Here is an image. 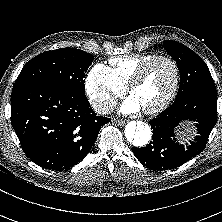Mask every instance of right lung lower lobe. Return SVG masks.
I'll use <instances>...</instances> for the list:
<instances>
[{
	"instance_id": "1",
	"label": "right lung lower lobe",
	"mask_w": 222,
	"mask_h": 222,
	"mask_svg": "<svg viewBox=\"0 0 222 222\" xmlns=\"http://www.w3.org/2000/svg\"><path fill=\"white\" fill-rule=\"evenodd\" d=\"M110 118L97 116L85 95L45 84L14 85L11 124L26 156L65 171L80 162Z\"/></svg>"
}]
</instances>
